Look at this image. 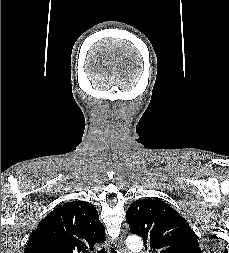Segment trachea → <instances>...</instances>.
I'll return each instance as SVG.
<instances>
[{
	"label": "trachea",
	"instance_id": "3493384b",
	"mask_svg": "<svg viewBox=\"0 0 229 253\" xmlns=\"http://www.w3.org/2000/svg\"><path fill=\"white\" fill-rule=\"evenodd\" d=\"M111 253H117L113 248L110 250ZM98 253H107L105 248L101 249Z\"/></svg>",
	"mask_w": 229,
	"mask_h": 253
}]
</instances>
